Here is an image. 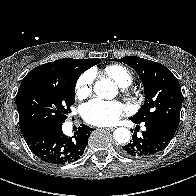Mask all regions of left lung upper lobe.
Listing matches in <instances>:
<instances>
[{
	"instance_id": "5c2ea615",
	"label": "left lung upper lobe",
	"mask_w": 196,
	"mask_h": 196,
	"mask_svg": "<svg viewBox=\"0 0 196 196\" xmlns=\"http://www.w3.org/2000/svg\"><path fill=\"white\" fill-rule=\"evenodd\" d=\"M131 66L140 76L145 102L132 117L138 122L158 121L176 132L183 95L177 78L164 65L136 56L114 59Z\"/></svg>"
}]
</instances>
